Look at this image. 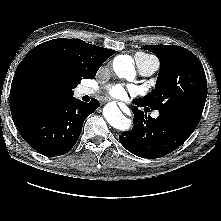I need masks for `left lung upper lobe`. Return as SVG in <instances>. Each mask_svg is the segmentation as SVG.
<instances>
[{
	"mask_svg": "<svg viewBox=\"0 0 221 221\" xmlns=\"http://www.w3.org/2000/svg\"><path fill=\"white\" fill-rule=\"evenodd\" d=\"M143 49L160 60L156 88L138 99L146 108L179 113L199 122L207 97V81L199 59L189 50L172 45H147Z\"/></svg>",
	"mask_w": 221,
	"mask_h": 221,
	"instance_id": "left-lung-upper-lobe-1",
	"label": "left lung upper lobe"
}]
</instances>
